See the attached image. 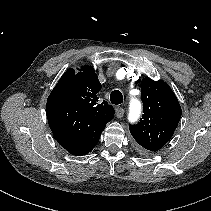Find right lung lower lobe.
Instances as JSON below:
<instances>
[{
	"label": "right lung lower lobe",
	"instance_id": "obj_1",
	"mask_svg": "<svg viewBox=\"0 0 211 211\" xmlns=\"http://www.w3.org/2000/svg\"><path fill=\"white\" fill-rule=\"evenodd\" d=\"M75 108L76 104L69 98L51 95L48 97L46 110L49 126L52 132L59 130L69 131L74 129L75 126L73 123L76 120L74 114ZM103 130L85 135L77 146L68 148L66 145H63L62 147L73 155L79 156L87 154L97 145Z\"/></svg>",
	"mask_w": 211,
	"mask_h": 211
}]
</instances>
